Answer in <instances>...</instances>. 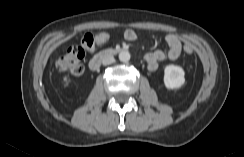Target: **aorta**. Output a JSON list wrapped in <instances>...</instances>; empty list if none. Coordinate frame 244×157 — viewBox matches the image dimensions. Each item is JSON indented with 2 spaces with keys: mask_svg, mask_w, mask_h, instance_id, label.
Wrapping results in <instances>:
<instances>
[{
  "mask_svg": "<svg viewBox=\"0 0 244 157\" xmlns=\"http://www.w3.org/2000/svg\"><path fill=\"white\" fill-rule=\"evenodd\" d=\"M130 53L128 51H121L119 53V60L123 63H126L130 60Z\"/></svg>",
  "mask_w": 244,
  "mask_h": 157,
  "instance_id": "1",
  "label": "aorta"
}]
</instances>
